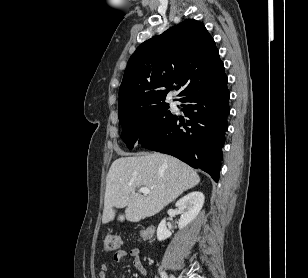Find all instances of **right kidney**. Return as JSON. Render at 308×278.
<instances>
[{
  "instance_id": "obj_1",
  "label": "right kidney",
  "mask_w": 308,
  "mask_h": 278,
  "mask_svg": "<svg viewBox=\"0 0 308 278\" xmlns=\"http://www.w3.org/2000/svg\"><path fill=\"white\" fill-rule=\"evenodd\" d=\"M205 197L203 193L195 191L181 198L176 203V208L181 213L179 220V229H183L191 223L199 214L204 205ZM171 236V232L167 229L166 219H163L157 229V239L165 240Z\"/></svg>"
}]
</instances>
